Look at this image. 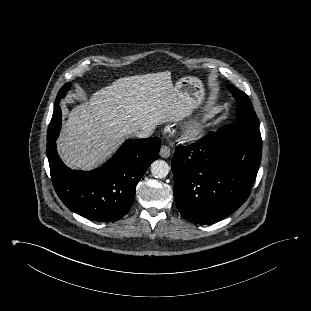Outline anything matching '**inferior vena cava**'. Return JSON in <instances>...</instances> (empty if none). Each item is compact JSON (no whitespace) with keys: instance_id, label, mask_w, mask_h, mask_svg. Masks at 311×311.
Returning <instances> with one entry per match:
<instances>
[{"instance_id":"1","label":"inferior vena cava","mask_w":311,"mask_h":311,"mask_svg":"<svg viewBox=\"0 0 311 311\" xmlns=\"http://www.w3.org/2000/svg\"><path fill=\"white\" fill-rule=\"evenodd\" d=\"M153 134V130L151 129H143L140 131H136L133 135L138 138H148Z\"/></svg>"}]
</instances>
